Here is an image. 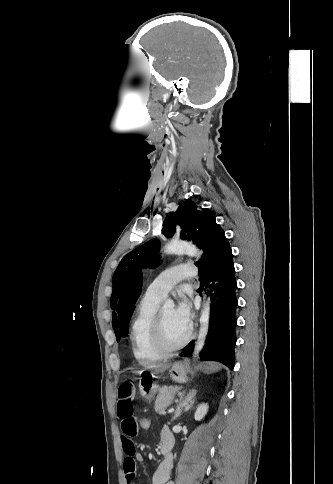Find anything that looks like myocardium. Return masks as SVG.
I'll return each mask as SVG.
<instances>
[{"label": "myocardium", "mask_w": 333, "mask_h": 484, "mask_svg": "<svg viewBox=\"0 0 333 484\" xmlns=\"http://www.w3.org/2000/svg\"><path fill=\"white\" fill-rule=\"evenodd\" d=\"M191 338L192 327L190 326L187 335L181 342L175 345H170L165 338L162 312L159 311L156 313L152 326V340L157 351L160 352L163 356L169 355L182 349L190 342Z\"/></svg>", "instance_id": "myocardium-1"}]
</instances>
